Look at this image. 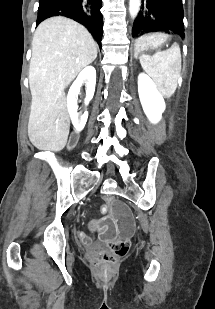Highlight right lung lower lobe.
<instances>
[{"label": "right lung lower lobe", "instance_id": "right-lung-lower-lobe-1", "mask_svg": "<svg viewBox=\"0 0 215 309\" xmlns=\"http://www.w3.org/2000/svg\"><path fill=\"white\" fill-rule=\"evenodd\" d=\"M91 11L83 10V0H39L36 26L53 16H65L83 24L94 36L101 48L103 18L100 12L101 0H88Z\"/></svg>", "mask_w": 215, "mask_h": 309}]
</instances>
